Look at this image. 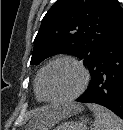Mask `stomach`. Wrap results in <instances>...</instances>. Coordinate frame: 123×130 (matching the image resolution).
Returning <instances> with one entry per match:
<instances>
[{"label": "stomach", "instance_id": "obj_1", "mask_svg": "<svg viewBox=\"0 0 123 130\" xmlns=\"http://www.w3.org/2000/svg\"><path fill=\"white\" fill-rule=\"evenodd\" d=\"M29 130H33L29 128ZM53 130H87L86 120L63 122Z\"/></svg>", "mask_w": 123, "mask_h": 130}]
</instances>
